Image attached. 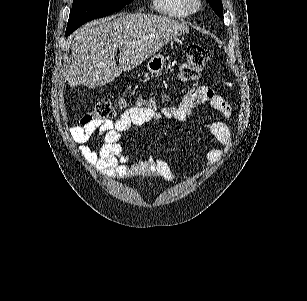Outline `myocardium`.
I'll return each instance as SVG.
<instances>
[{
    "label": "myocardium",
    "mask_w": 307,
    "mask_h": 301,
    "mask_svg": "<svg viewBox=\"0 0 307 301\" xmlns=\"http://www.w3.org/2000/svg\"><path fill=\"white\" fill-rule=\"evenodd\" d=\"M186 5L189 7H186V13L188 15H197L199 12H201V2L200 0H185Z\"/></svg>",
    "instance_id": "f54148a6"
}]
</instances>
